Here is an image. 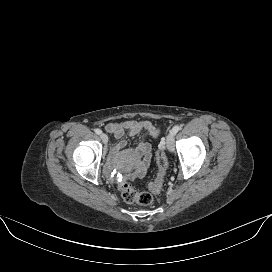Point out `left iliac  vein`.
I'll use <instances>...</instances> for the list:
<instances>
[{
  "instance_id": "4c4485c4",
  "label": "left iliac vein",
  "mask_w": 272,
  "mask_h": 272,
  "mask_svg": "<svg viewBox=\"0 0 272 272\" xmlns=\"http://www.w3.org/2000/svg\"><path fill=\"white\" fill-rule=\"evenodd\" d=\"M166 147L169 151L174 150V135L169 133L166 137Z\"/></svg>"
}]
</instances>
